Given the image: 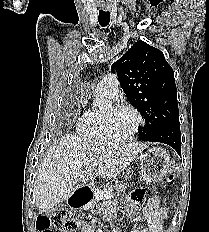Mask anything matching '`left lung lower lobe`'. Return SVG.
Segmentation results:
<instances>
[{
  "instance_id": "obj_1",
  "label": "left lung lower lobe",
  "mask_w": 209,
  "mask_h": 232,
  "mask_svg": "<svg viewBox=\"0 0 209 232\" xmlns=\"http://www.w3.org/2000/svg\"><path fill=\"white\" fill-rule=\"evenodd\" d=\"M150 142H159L173 147L181 155V133L179 121L164 125L148 139Z\"/></svg>"
}]
</instances>
